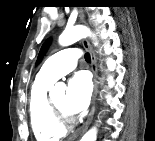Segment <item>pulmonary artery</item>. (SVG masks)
I'll return each instance as SVG.
<instances>
[{
  "instance_id": "e3ab8cb5",
  "label": "pulmonary artery",
  "mask_w": 155,
  "mask_h": 141,
  "mask_svg": "<svg viewBox=\"0 0 155 141\" xmlns=\"http://www.w3.org/2000/svg\"><path fill=\"white\" fill-rule=\"evenodd\" d=\"M80 56V51L75 47H68L57 52L47 60L38 73L37 78L56 81L76 67Z\"/></svg>"
}]
</instances>
